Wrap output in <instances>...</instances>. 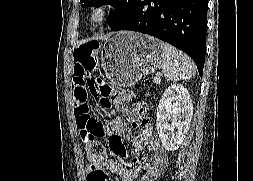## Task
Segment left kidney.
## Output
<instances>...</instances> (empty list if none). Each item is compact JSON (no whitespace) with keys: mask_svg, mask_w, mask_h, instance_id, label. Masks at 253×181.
Returning a JSON list of instances; mask_svg holds the SVG:
<instances>
[{"mask_svg":"<svg viewBox=\"0 0 253 181\" xmlns=\"http://www.w3.org/2000/svg\"><path fill=\"white\" fill-rule=\"evenodd\" d=\"M193 105L188 90L181 84L170 85L157 107L156 126L162 146L175 151L190 127Z\"/></svg>","mask_w":253,"mask_h":181,"instance_id":"5707ae66","label":"left kidney"}]
</instances>
